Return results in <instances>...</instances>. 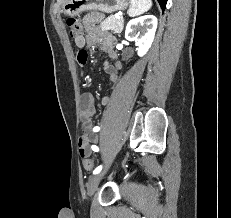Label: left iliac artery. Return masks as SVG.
I'll return each mask as SVG.
<instances>
[{
	"instance_id": "obj_1",
	"label": "left iliac artery",
	"mask_w": 231,
	"mask_h": 218,
	"mask_svg": "<svg viewBox=\"0 0 231 218\" xmlns=\"http://www.w3.org/2000/svg\"><path fill=\"white\" fill-rule=\"evenodd\" d=\"M100 130V127L96 126L93 128V132H98ZM92 150L95 151V152H98L99 151V148L96 146V145H92L91 146ZM102 169V165L98 166L94 171H93V174H98Z\"/></svg>"
}]
</instances>
